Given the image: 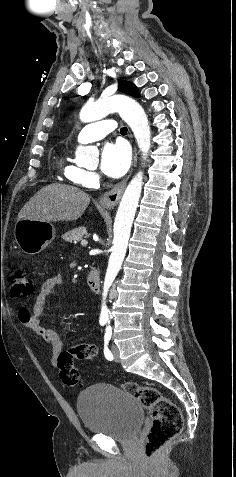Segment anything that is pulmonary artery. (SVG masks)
<instances>
[{
  "instance_id": "e3ab8cb5",
  "label": "pulmonary artery",
  "mask_w": 236,
  "mask_h": 477,
  "mask_svg": "<svg viewBox=\"0 0 236 477\" xmlns=\"http://www.w3.org/2000/svg\"><path fill=\"white\" fill-rule=\"evenodd\" d=\"M116 129V122L112 119H104L86 125L78 134L80 143H87L104 138L109 132Z\"/></svg>"
}]
</instances>
